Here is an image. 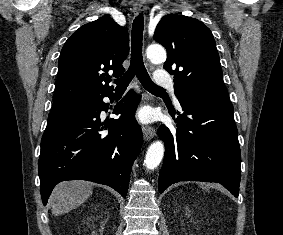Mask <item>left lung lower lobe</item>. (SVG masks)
I'll return each mask as SVG.
<instances>
[{
  "label": "left lung lower lobe",
  "mask_w": 283,
  "mask_h": 235,
  "mask_svg": "<svg viewBox=\"0 0 283 235\" xmlns=\"http://www.w3.org/2000/svg\"><path fill=\"white\" fill-rule=\"evenodd\" d=\"M183 114L169 113L177 128L162 124L165 143L159 192L180 181L218 182L238 197L241 153L232 103L178 98Z\"/></svg>",
  "instance_id": "left-lung-lower-lobe-1"
}]
</instances>
